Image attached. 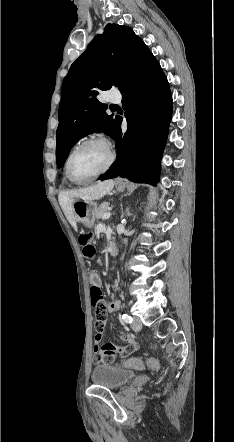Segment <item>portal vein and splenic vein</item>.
Returning a JSON list of instances; mask_svg holds the SVG:
<instances>
[{
	"mask_svg": "<svg viewBox=\"0 0 234 442\" xmlns=\"http://www.w3.org/2000/svg\"><path fill=\"white\" fill-rule=\"evenodd\" d=\"M110 216H111V213L110 212H106V213L103 214L102 218L103 219H109Z\"/></svg>",
	"mask_w": 234,
	"mask_h": 442,
	"instance_id": "18ae733b",
	"label": "portal vein and splenic vein"
}]
</instances>
